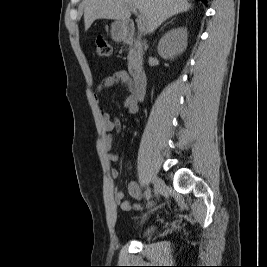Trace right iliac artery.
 Instances as JSON below:
<instances>
[{
    "instance_id": "right-iliac-artery-1",
    "label": "right iliac artery",
    "mask_w": 267,
    "mask_h": 267,
    "mask_svg": "<svg viewBox=\"0 0 267 267\" xmlns=\"http://www.w3.org/2000/svg\"><path fill=\"white\" fill-rule=\"evenodd\" d=\"M145 196H146V200L148 201L151 197V190L150 188H147V190L145 191Z\"/></svg>"
}]
</instances>
